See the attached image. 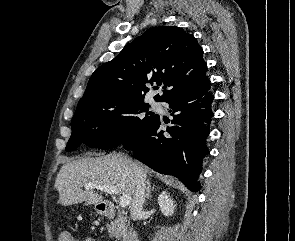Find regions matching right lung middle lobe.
I'll return each mask as SVG.
<instances>
[{
	"label": "right lung middle lobe",
	"instance_id": "dd1d6c3e",
	"mask_svg": "<svg viewBox=\"0 0 295 241\" xmlns=\"http://www.w3.org/2000/svg\"><path fill=\"white\" fill-rule=\"evenodd\" d=\"M157 116L148 112L144 102L122 98L80 102L72 118L66 151L82 143L100 149L121 145L141 133Z\"/></svg>",
	"mask_w": 295,
	"mask_h": 241
}]
</instances>
